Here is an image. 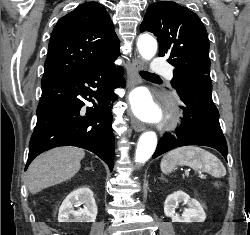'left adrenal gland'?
<instances>
[{
  "mask_svg": "<svg viewBox=\"0 0 250 235\" xmlns=\"http://www.w3.org/2000/svg\"><path fill=\"white\" fill-rule=\"evenodd\" d=\"M159 179H161V180H165V181H166V179L164 178V176H163V175H161V177H160Z\"/></svg>",
  "mask_w": 250,
  "mask_h": 235,
  "instance_id": "a2214340",
  "label": "left adrenal gland"
}]
</instances>
